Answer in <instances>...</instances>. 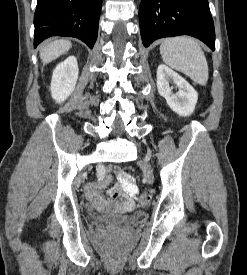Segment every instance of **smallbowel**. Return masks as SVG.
<instances>
[{"label": "small bowel", "mask_w": 247, "mask_h": 275, "mask_svg": "<svg viewBox=\"0 0 247 275\" xmlns=\"http://www.w3.org/2000/svg\"><path fill=\"white\" fill-rule=\"evenodd\" d=\"M117 184L108 189V193L115 199H119L118 206L123 211H130L137 199L138 189L133 178L119 168L115 169ZM111 175L107 174L103 179L89 183L85 187L86 197L97 207L106 205L102 190L111 183Z\"/></svg>", "instance_id": "1"}]
</instances>
